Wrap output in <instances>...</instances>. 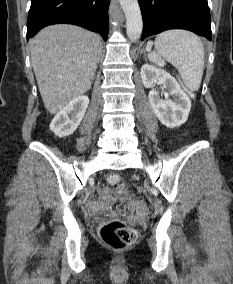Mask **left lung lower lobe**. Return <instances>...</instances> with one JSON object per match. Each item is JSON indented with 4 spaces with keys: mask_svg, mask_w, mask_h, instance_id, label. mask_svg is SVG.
Segmentation results:
<instances>
[{
    "mask_svg": "<svg viewBox=\"0 0 233 284\" xmlns=\"http://www.w3.org/2000/svg\"><path fill=\"white\" fill-rule=\"evenodd\" d=\"M143 17L141 39L169 29H186L211 40L207 0H138Z\"/></svg>",
    "mask_w": 233,
    "mask_h": 284,
    "instance_id": "0a47b994",
    "label": "left lung lower lobe"
}]
</instances>
